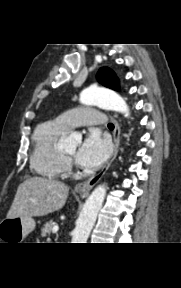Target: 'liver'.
I'll list each match as a JSON object with an SVG mask.
<instances>
[{
	"mask_svg": "<svg viewBox=\"0 0 181 288\" xmlns=\"http://www.w3.org/2000/svg\"><path fill=\"white\" fill-rule=\"evenodd\" d=\"M69 187L63 182L44 177H30L21 183L7 218L40 217L61 209Z\"/></svg>",
	"mask_w": 181,
	"mask_h": 288,
	"instance_id": "1",
	"label": "liver"
}]
</instances>
